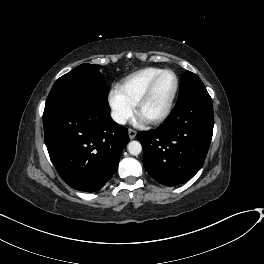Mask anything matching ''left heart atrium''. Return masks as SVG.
I'll return each mask as SVG.
<instances>
[{"instance_id":"left-heart-atrium-1","label":"left heart atrium","mask_w":264,"mask_h":264,"mask_svg":"<svg viewBox=\"0 0 264 264\" xmlns=\"http://www.w3.org/2000/svg\"><path fill=\"white\" fill-rule=\"evenodd\" d=\"M139 119H140V120H144L141 116H139Z\"/></svg>"}]
</instances>
